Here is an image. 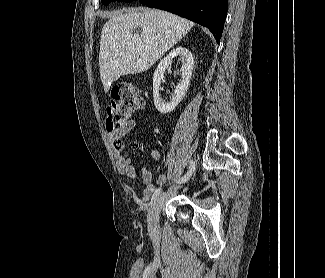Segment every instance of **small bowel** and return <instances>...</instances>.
I'll return each mask as SVG.
<instances>
[{
  "label": "small bowel",
  "mask_w": 325,
  "mask_h": 278,
  "mask_svg": "<svg viewBox=\"0 0 325 278\" xmlns=\"http://www.w3.org/2000/svg\"><path fill=\"white\" fill-rule=\"evenodd\" d=\"M136 127V121L131 119L122 125L119 129L109 133V139L112 143L116 144L119 139L136 129ZM114 154L116 157L117 168L119 172L131 180H136L139 167L132 162L130 156L127 154H121L117 149L114 150ZM149 156L151 160L156 161L160 158V153L158 150H151ZM140 174L141 181L145 185L140 198V204L142 206H145L147 205L151 195L154 194L156 186L151 182L152 173L149 168H140ZM166 180L167 176L165 174H160L156 178V184L162 185L166 182Z\"/></svg>",
  "instance_id": "c3829d8e"
}]
</instances>
